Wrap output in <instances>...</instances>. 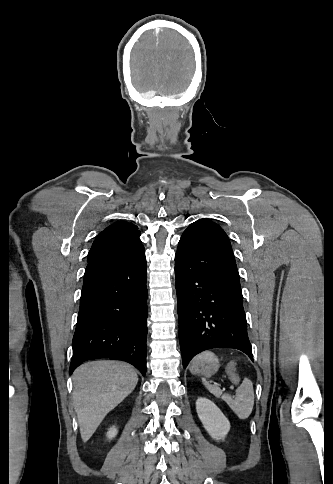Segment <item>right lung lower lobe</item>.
I'll return each instance as SVG.
<instances>
[{
    "instance_id": "obj_1",
    "label": "right lung lower lobe",
    "mask_w": 333,
    "mask_h": 484,
    "mask_svg": "<svg viewBox=\"0 0 333 484\" xmlns=\"http://www.w3.org/2000/svg\"><path fill=\"white\" fill-rule=\"evenodd\" d=\"M147 268L144 247L89 260L73 337L70 373L82 362L113 358L146 373Z\"/></svg>"
}]
</instances>
